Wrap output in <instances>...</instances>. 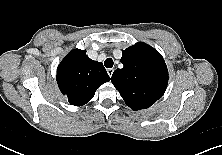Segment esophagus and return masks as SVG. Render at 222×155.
<instances>
[{"label": "esophagus", "mask_w": 222, "mask_h": 155, "mask_svg": "<svg viewBox=\"0 0 222 155\" xmlns=\"http://www.w3.org/2000/svg\"><path fill=\"white\" fill-rule=\"evenodd\" d=\"M113 72H114V69H113V68L107 69V73H108V75H109L110 77L112 76Z\"/></svg>", "instance_id": "obj_1"}]
</instances>
